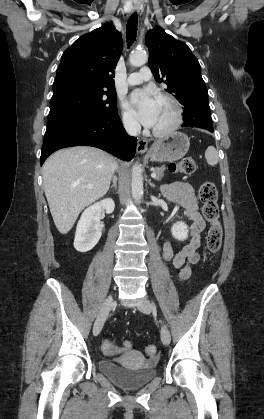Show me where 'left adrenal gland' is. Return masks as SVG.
Here are the masks:
<instances>
[{"label":"left adrenal gland","mask_w":264,"mask_h":419,"mask_svg":"<svg viewBox=\"0 0 264 419\" xmlns=\"http://www.w3.org/2000/svg\"><path fill=\"white\" fill-rule=\"evenodd\" d=\"M148 183L151 187H155V185L150 180L148 181Z\"/></svg>","instance_id":"1"}]
</instances>
